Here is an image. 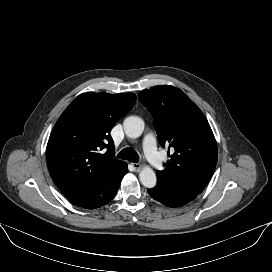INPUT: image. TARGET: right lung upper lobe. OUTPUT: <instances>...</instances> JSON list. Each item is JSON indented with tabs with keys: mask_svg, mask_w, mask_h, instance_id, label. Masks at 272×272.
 Masks as SVG:
<instances>
[{
	"mask_svg": "<svg viewBox=\"0 0 272 272\" xmlns=\"http://www.w3.org/2000/svg\"><path fill=\"white\" fill-rule=\"evenodd\" d=\"M132 93H83L57 120L46 150L50 175L63 193L86 192L122 161L114 159L110 131L134 106Z\"/></svg>",
	"mask_w": 272,
	"mask_h": 272,
	"instance_id": "right-lung-upper-lobe-1",
	"label": "right lung upper lobe"
}]
</instances>
